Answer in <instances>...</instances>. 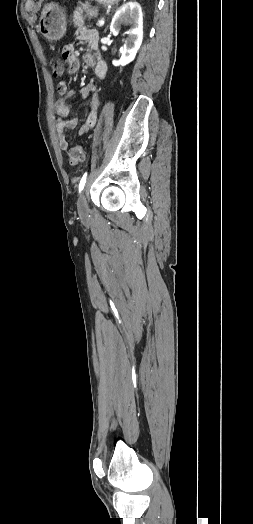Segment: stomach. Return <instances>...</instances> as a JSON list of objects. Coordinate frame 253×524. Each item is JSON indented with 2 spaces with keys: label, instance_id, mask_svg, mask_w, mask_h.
Instances as JSON below:
<instances>
[{
  "label": "stomach",
  "instance_id": "1",
  "mask_svg": "<svg viewBox=\"0 0 253 524\" xmlns=\"http://www.w3.org/2000/svg\"><path fill=\"white\" fill-rule=\"evenodd\" d=\"M104 6L115 5L120 0H96ZM39 32L48 40L61 39L66 32V14L58 4L49 3L44 6L39 24Z\"/></svg>",
  "mask_w": 253,
  "mask_h": 524
}]
</instances>
